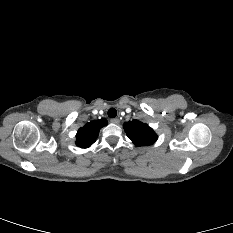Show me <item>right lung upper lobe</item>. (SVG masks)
<instances>
[{"instance_id":"right-lung-upper-lobe-1","label":"right lung upper lobe","mask_w":233,"mask_h":233,"mask_svg":"<svg viewBox=\"0 0 233 233\" xmlns=\"http://www.w3.org/2000/svg\"><path fill=\"white\" fill-rule=\"evenodd\" d=\"M107 120H94L87 123L84 127L80 128L76 134V145L80 148H88L95 141L98 136L99 130L106 126Z\"/></svg>"}]
</instances>
